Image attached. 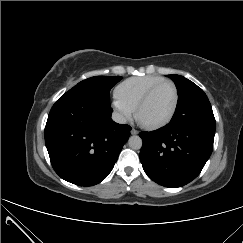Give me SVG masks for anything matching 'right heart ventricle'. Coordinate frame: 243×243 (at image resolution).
Returning <instances> with one entry per match:
<instances>
[{"mask_svg": "<svg viewBox=\"0 0 243 243\" xmlns=\"http://www.w3.org/2000/svg\"><path fill=\"white\" fill-rule=\"evenodd\" d=\"M163 79L164 77L159 75H144L128 78L115 88V98L133 112L143 95L153 85Z\"/></svg>", "mask_w": 243, "mask_h": 243, "instance_id": "right-heart-ventricle-1", "label": "right heart ventricle"}]
</instances>
